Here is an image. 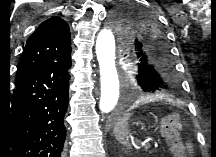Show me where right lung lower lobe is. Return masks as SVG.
Wrapping results in <instances>:
<instances>
[{
  "label": "right lung lower lobe",
  "instance_id": "right-lung-lower-lobe-1",
  "mask_svg": "<svg viewBox=\"0 0 216 157\" xmlns=\"http://www.w3.org/2000/svg\"><path fill=\"white\" fill-rule=\"evenodd\" d=\"M70 67V56L60 58L16 81L0 156L64 157Z\"/></svg>",
  "mask_w": 216,
  "mask_h": 157
}]
</instances>
